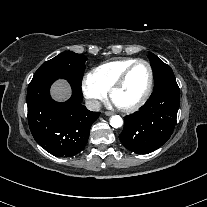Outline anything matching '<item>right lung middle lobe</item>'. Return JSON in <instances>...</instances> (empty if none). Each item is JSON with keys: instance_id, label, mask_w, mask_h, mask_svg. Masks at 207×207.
Instances as JSON below:
<instances>
[{"instance_id": "right-lung-middle-lobe-1", "label": "right lung middle lobe", "mask_w": 207, "mask_h": 207, "mask_svg": "<svg viewBox=\"0 0 207 207\" xmlns=\"http://www.w3.org/2000/svg\"><path fill=\"white\" fill-rule=\"evenodd\" d=\"M86 56L66 51L43 63L35 72L33 79L41 77L62 78L69 83L81 87L85 70Z\"/></svg>"}]
</instances>
